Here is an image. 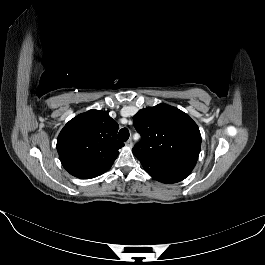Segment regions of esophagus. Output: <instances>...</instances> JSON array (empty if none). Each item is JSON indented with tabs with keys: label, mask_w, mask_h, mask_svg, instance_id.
I'll return each instance as SVG.
<instances>
[{
	"label": "esophagus",
	"mask_w": 265,
	"mask_h": 265,
	"mask_svg": "<svg viewBox=\"0 0 265 265\" xmlns=\"http://www.w3.org/2000/svg\"><path fill=\"white\" fill-rule=\"evenodd\" d=\"M126 145L128 147H132V140H131V138L127 140Z\"/></svg>",
	"instance_id": "1"
}]
</instances>
